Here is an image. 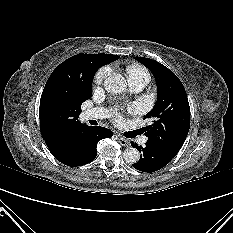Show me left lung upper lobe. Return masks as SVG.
<instances>
[{"instance_id": "1", "label": "left lung upper lobe", "mask_w": 233, "mask_h": 233, "mask_svg": "<svg viewBox=\"0 0 233 233\" xmlns=\"http://www.w3.org/2000/svg\"><path fill=\"white\" fill-rule=\"evenodd\" d=\"M136 60L151 71L158 90L154 108L144 116V119L152 121L145 128L147 142L175 157L190 127V107L186 91L179 78L161 63L143 57H136Z\"/></svg>"}]
</instances>
